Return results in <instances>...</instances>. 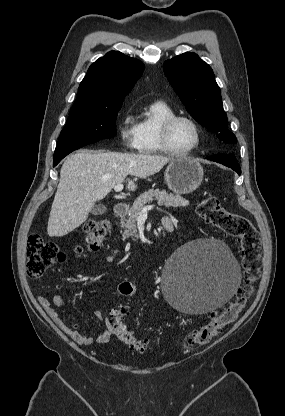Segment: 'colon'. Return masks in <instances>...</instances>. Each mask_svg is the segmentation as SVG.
I'll return each mask as SVG.
<instances>
[{"label": "colon", "instance_id": "1", "mask_svg": "<svg viewBox=\"0 0 285 416\" xmlns=\"http://www.w3.org/2000/svg\"><path fill=\"white\" fill-rule=\"evenodd\" d=\"M196 211L206 223L239 241L244 280L227 306L214 313L208 323L192 331L187 339L188 346H200L209 343L238 318L252 297L254 285L260 277L261 269L260 237L247 218L229 212L213 196H208L199 201ZM84 232L88 249L95 251L106 241L109 235V224L104 220H88L84 224ZM27 258V274L32 278H38L46 270L62 262L65 255L56 244L45 241L38 234H32L27 242ZM118 292L121 296H132L136 293V287L131 282H122L118 286ZM127 314L128 311L123 306H118L112 310L110 321L114 333L124 345L134 351L144 352L148 348V342L137 337L129 328L125 321Z\"/></svg>", "mask_w": 285, "mask_h": 416}]
</instances>
